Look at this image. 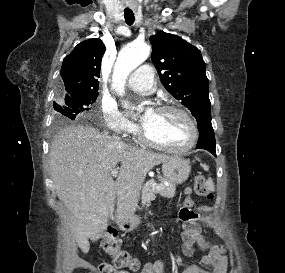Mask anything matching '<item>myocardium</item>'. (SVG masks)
I'll list each match as a JSON object with an SVG mask.
<instances>
[{
  "label": "myocardium",
  "mask_w": 285,
  "mask_h": 273,
  "mask_svg": "<svg viewBox=\"0 0 285 273\" xmlns=\"http://www.w3.org/2000/svg\"><path fill=\"white\" fill-rule=\"evenodd\" d=\"M156 111H174L179 113L187 121L189 125L190 129L189 139L185 144L181 146L165 145L150 138L149 135L146 133L145 129L143 127H140L139 137L143 143H145L150 147L172 153H184L189 151L195 146L199 137V128L195 118L186 108L178 104H164L159 106L156 109Z\"/></svg>",
  "instance_id": "obj_1"
}]
</instances>
